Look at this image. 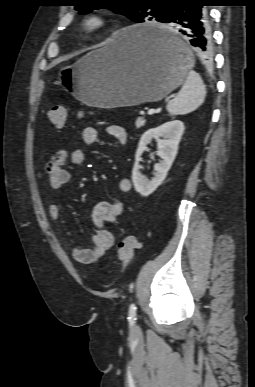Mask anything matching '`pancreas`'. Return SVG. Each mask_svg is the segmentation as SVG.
<instances>
[{"label": "pancreas", "mask_w": 255, "mask_h": 387, "mask_svg": "<svg viewBox=\"0 0 255 387\" xmlns=\"http://www.w3.org/2000/svg\"><path fill=\"white\" fill-rule=\"evenodd\" d=\"M138 119H141L140 124L137 123ZM138 119L136 120V123H135L137 129L141 128L145 124V120L143 118H138Z\"/></svg>", "instance_id": "cf45deb5"}]
</instances>
